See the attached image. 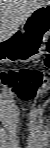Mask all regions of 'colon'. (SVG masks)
I'll list each match as a JSON object with an SVG mask.
<instances>
[{
    "instance_id": "colon-1",
    "label": "colon",
    "mask_w": 50,
    "mask_h": 148,
    "mask_svg": "<svg viewBox=\"0 0 50 148\" xmlns=\"http://www.w3.org/2000/svg\"><path fill=\"white\" fill-rule=\"evenodd\" d=\"M43 64L50 66V57L46 56ZM3 81L9 85L16 96L24 100L35 99L40 91L48 84V72L42 70L22 69L9 71L3 74Z\"/></svg>"
}]
</instances>
